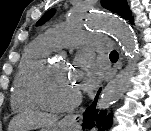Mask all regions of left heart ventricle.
Listing matches in <instances>:
<instances>
[{"mask_svg": "<svg viewBox=\"0 0 151 131\" xmlns=\"http://www.w3.org/2000/svg\"><path fill=\"white\" fill-rule=\"evenodd\" d=\"M45 93L49 100L55 103L64 102L79 93L65 63L61 61L53 63V70L45 82Z\"/></svg>", "mask_w": 151, "mask_h": 131, "instance_id": "b2bd125f", "label": "left heart ventricle"}]
</instances>
